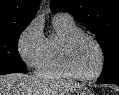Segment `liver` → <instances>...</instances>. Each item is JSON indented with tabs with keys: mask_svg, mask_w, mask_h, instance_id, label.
<instances>
[{
	"mask_svg": "<svg viewBox=\"0 0 119 95\" xmlns=\"http://www.w3.org/2000/svg\"><path fill=\"white\" fill-rule=\"evenodd\" d=\"M80 87L76 83L43 75L11 73L0 75V95H66Z\"/></svg>",
	"mask_w": 119,
	"mask_h": 95,
	"instance_id": "liver-1",
	"label": "liver"
}]
</instances>
